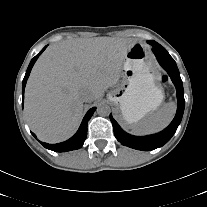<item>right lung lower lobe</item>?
<instances>
[{"instance_id":"right-lung-lower-lobe-1","label":"right lung lower lobe","mask_w":207,"mask_h":207,"mask_svg":"<svg viewBox=\"0 0 207 207\" xmlns=\"http://www.w3.org/2000/svg\"><path fill=\"white\" fill-rule=\"evenodd\" d=\"M46 47H44L30 62L28 68H27V71H26V74H25V77L23 79V83H22V95L24 96V88H25V85H26V82H27V79L29 77V74H30V71L34 65V63L36 62V60L38 59L39 55L45 50ZM23 104V102H22ZM95 107L91 108L87 114L85 115V117L83 118V121L80 125V128L78 129L77 133L71 137L69 140L67 141H64L62 143H58V144H47V143H44V142H41V144L49 149V150H52V151H55V152H66V151H71V150H75V149H79L82 147V145L84 144V141L87 137V124H88V121L90 120L91 116L93 115L94 111H95ZM32 135L34 137L35 134L32 133Z\"/></svg>"}]
</instances>
